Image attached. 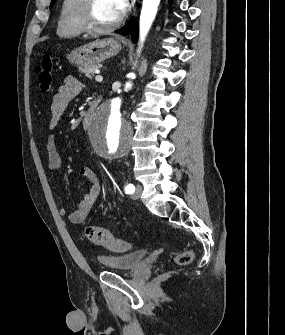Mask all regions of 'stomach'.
<instances>
[{"mask_svg": "<svg viewBox=\"0 0 285 335\" xmlns=\"http://www.w3.org/2000/svg\"><path fill=\"white\" fill-rule=\"evenodd\" d=\"M122 46L118 40L114 38H104V40H95L80 48H75L67 56L70 64L74 66H95L101 64L104 60L116 56L120 52Z\"/></svg>", "mask_w": 285, "mask_h": 335, "instance_id": "obj_1", "label": "stomach"}]
</instances>
